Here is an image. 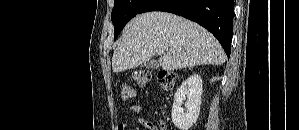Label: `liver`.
<instances>
[{"label":"liver","instance_id":"liver-1","mask_svg":"<svg viewBox=\"0 0 299 130\" xmlns=\"http://www.w3.org/2000/svg\"><path fill=\"white\" fill-rule=\"evenodd\" d=\"M160 49L165 54L159 65L166 71L226 61L219 42L202 26L175 14L147 12L125 26L113 54V72L136 68Z\"/></svg>","mask_w":299,"mask_h":130}]
</instances>
